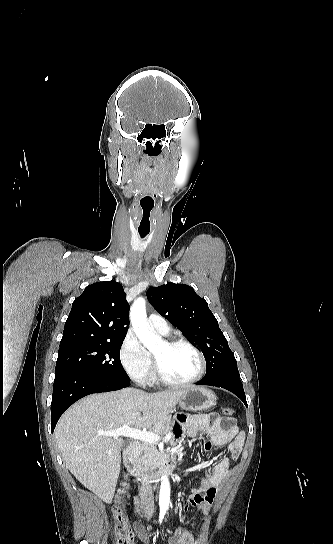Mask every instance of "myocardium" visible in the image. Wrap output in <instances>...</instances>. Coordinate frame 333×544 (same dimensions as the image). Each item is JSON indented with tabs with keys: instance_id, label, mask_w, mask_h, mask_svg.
<instances>
[{
	"instance_id": "f54148a6",
	"label": "myocardium",
	"mask_w": 333,
	"mask_h": 544,
	"mask_svg": "<svg viewBox=\"0 0 333 544\" xmlns=\"http://www.w3.org/2000/svg\"><path fill=\"white\" fill-rule=\"evenodd\" d=\"M164 343L169 347H174V346H177V345H184V346L190 348L197 355V357L199 359L200 367H199L198 373L193 378H191V379H189L187 381H182V382L172 381V380L167 379L164 376V374L161 371V368L159 366V363H158L157 359L153 355L154 375H155L156 380L159 383H161V384H163L165 386L175 387V388L187 387V386H190V385H193V384L197 383L198 381H200L204 377V375L206 373V370H207V361H206V358H205L204 354L202 353V351L199 348H197L193 343H191L190 341H188V340H186L184 338L166 339V340H164Z\"/></svg>"
}]
</instances>
